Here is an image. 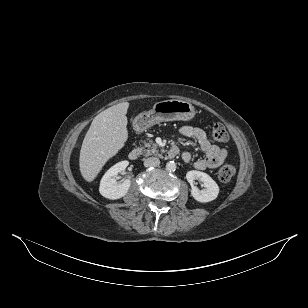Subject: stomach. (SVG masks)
<instances>
[{
	"label": "stomach",
	"mask_w": 308,
	"mask_h": 308,
	"mask_svg": "<svg viewBox=\"0 0 308 308\" xmlns=\"http://www.w3.org/2000/svg\"><path fill=\"white\" fill-rule=\"evenodd\" d=\"M194 106L184 100L170 99L156 102L149 111L140 113L134 119L137 130H145L157 123L164 121H187L194 117Z\"/></svg>",
	"instance_id": "0dacf381"
}]
</instances>
